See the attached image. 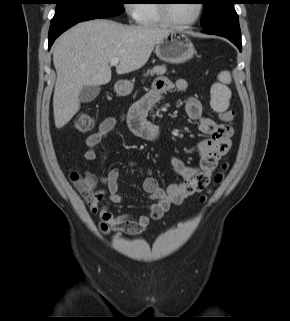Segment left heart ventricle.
<instances>
[{
	"mask_svg": "<svg viewBox=\"0 0 290 321\" xmlns=\"http://www.w3.org/2000/svg\"><path fill=\"white\" fill-rule=\"evenodd\" d=\"M197 11V1L195 0H175L169 4V14L172 19L178 22H186L195 16Z\"/></svg>",
	"mask_w": 290,
	"mask_h": 321,
	"instance_id": "1",
	"label": "left heart ventricle"
}]
</instances>
